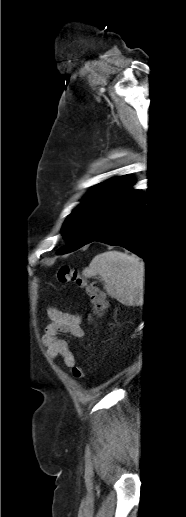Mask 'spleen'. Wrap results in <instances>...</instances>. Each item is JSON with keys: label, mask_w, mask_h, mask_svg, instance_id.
Wrapping results in <instances>:
<instances>
[{"label": "spleen", "mask_w": 186, "mask_h": 517, "mask_svg": "<svg viewBox=\"0 0 186 517\" xmlns=\"http://www.w3.org/2000/svg\"><path fill=\"white\" fill-rule=\"evenodd\" d=\"M82 274L87 278L99 276L108 295L122 304H144L145 263L135 256L119 251L98 254Z\"/></svg>", "instance_id": "1"}]
</instances>
